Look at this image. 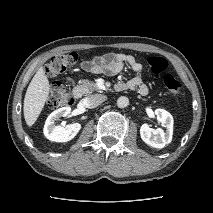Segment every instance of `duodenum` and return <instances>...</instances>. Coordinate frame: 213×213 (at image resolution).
Here are the masks:
<instances>
[{
  "mask_svg": "<svg viewBox=\"0 0 213 213\" xmlns=\"http://www.w3.org/2000/svg\"><path fill=\"white\" fill-rule=\"evenodd\" d=\"M73 95L76 99H79L82 96V91L79 88H75L73 91Z\"/></svg>",
  "mask_w": 213,
  "mask_h": 213,
  "instance_id": "obj_1",
  "label": "duodenum"
}]
</instances>
